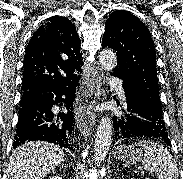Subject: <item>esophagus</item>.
Returning <instances> with one entry per match:
<instances>
[{"label":"esophagus","instance_id":"obj_1","mask_svg":"<svg viewBox=\"0 0 183 179\" xmlns=\"http://www.w3.org/2000/svg\"><path fill=\"white\" fill-rule=\"evenodd\" d=\"M103 71L99 66L88 67L85 75V102L75 110L76 124L81 134L87 136L95 125L94 105L99 97Z\"/></svg>","mask_w":183,"mask_h":179}]
</instances>
